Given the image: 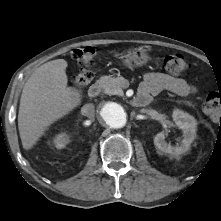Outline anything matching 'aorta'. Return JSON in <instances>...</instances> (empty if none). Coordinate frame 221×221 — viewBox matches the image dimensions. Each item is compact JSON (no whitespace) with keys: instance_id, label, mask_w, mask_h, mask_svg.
Masks as SVG:
<instances>
[{"instance_id":"1","label":"aorta","mask_w":221,"mask_h":221,"mask_svg":"<svg viewBox=\"0 0 221 221\" xmlns=\"http://www.w3.org/2000/svg\"><path fill=\"white\" fill-rule=\"evenodd\" d=\"M100 118L103 123L112 128H122L127 122V112L122 105L107 102L100 109Z\"/></svg>"}]
</instances>
